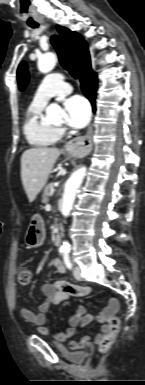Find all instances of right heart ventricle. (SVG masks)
I'll return each instance as SVG.
<instances>
[{
  "label": "right heart ventricle",
  "mask_w": 145,
  "mask_h": 385,
  "mask_svg": "<svg viewBox=\"0 0 145 385\" xmlns=\"http://www.w3.org/2000/svg\"><path fill=\"white\" fill-rule=\"evenodd\" d=\"M45 104L32 102L27 108L23 123V133L32 146L48 147L59 139L58 130L42 118Z\"/></svg>",
  "instance_id": "e07e8e85"
}]
</instances>
